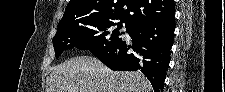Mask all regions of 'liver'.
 Instances as JSON below:
<instances>
[{
	"mask_svg": "<svg viewBox=\"0 0 225 92\" xmlns=\"http://www.w3.org/2000/svg\"><path fill=\"white\" fill-rule=\"evenodd\" d=\"M140 72L112 71L90 56H77L52 68L46 92H152Z\"/></svg>",
	"mask_w": 225,
	"mask_h": 92,
	"instance_id": "1",
	"label": "liver"
}]
</instances>
